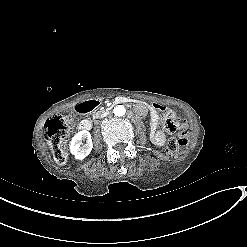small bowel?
Listing matches in <instances>:
<instances>
[{
  "instance_id": "obj_1",
  "label": "small bowel",
  "mask_w": 247,
  "mask_h": 247,
  "mask_svg": "<svg viewBox=\"0 0 247 247\" xmlns=\"http://www.w3.org/2000/svg\"><path fill=\"white\" fill-rule=\"evenodd\" d=\"M164 112L171 113V115H173L174 119L176 120V123H177V126L179 127V129H181L182 131H185L186 125H185V123H183L178 118L176 113L171 112V111H164ZM149 114H150L151 123L156 125V123L159 120V112L155 111L150 105L149 106ZM152 141L157 146H163L165 144V141H166V136H165L164 132L160 131V130L153 132L152 133Z\"/></svg>"
}]
</instances>
